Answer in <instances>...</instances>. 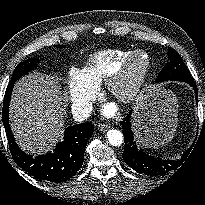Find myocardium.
Instances as JSON below:
<instances>
[{"instance_id":"f54148a6","label":"myocardium","mask_w":205,"mask_h":205,"mask_svg":"<svg viewBox=\"0 0 205 205\" xmlns=\"http://www.w3.org/2000/svg\"><path fill=\"white\" fill-rule=\"evenodd\" d=\"M139 56H144L145 62L136 74L131 75L132 65ZM150 66L151 59L147 52L143 50L133 51L106 80L107 94L121 103L134 101L144 86Z\"/></svg>"}]
</instances>
